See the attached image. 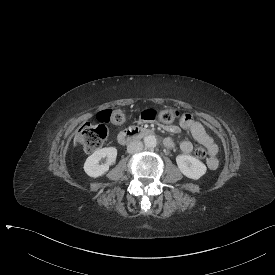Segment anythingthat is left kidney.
<instances>
[{
	"instance_id": "1",
	"label": "left kidney",
	"mask_w": 275,
	"mask_h": 275,
	"mask_svg": "<svg viewBox=\"0 0 275 275\" xmlns=\"http://www.w3.org/2000/svg\"><path fill=\"white\" fill-rule=\"evenodd\" d=\"M176 162L180 171L191 179H199L207 170L205 164L190 155H178Z\"/></svg>"
}]
</instances>
